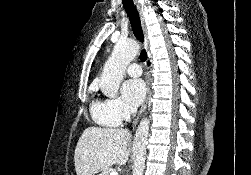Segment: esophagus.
<instances>
[{
	"label": "esophagus",
	"instance_id": "obj_1",
	"mask_svg": "<svg viewBox=\"0 0 251 175\" xmlns=\"http://www.w3.org/2000/svg\"><path fill=\"white\" fill-rule=\"evenodd\" d=\"M139 14H140V21H141V26H142V30L145 36V45L146 47H148V38H147V29H146V25H145V21H144V16L139 8ZM150 85H151V79L149 77V75L146 76V89H147V96L144 100V102L142 103L140 110L137 114V117L135 119V122L133 124V126L136 125L137 121L142 117L143 113L146 111L147 105H148V98H149V94H150Z\"/></svg>",
	"mask_w": 251,
	"mask_h": 175
}]
</instances>
